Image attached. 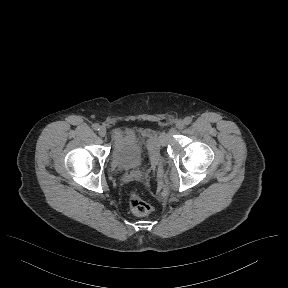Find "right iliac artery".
Returning a JSON list of instances; mask_svg holds the SVG:
<instances>
[{"instance_id": "1", "label": "right iliac artery", "mask_w": 288, "mask_h": 288, "mask_svg": "<svg viewBox=\"0 0 288 288\" xmlns=\"http://www.w3.org/2000/svg\"><path fill=\"white\" fill-rule=\"evenodd\" d=\"M93 129L94 130H99L100 129V125L98 123L93 124Z\"/></svg>"}]
</instances>
